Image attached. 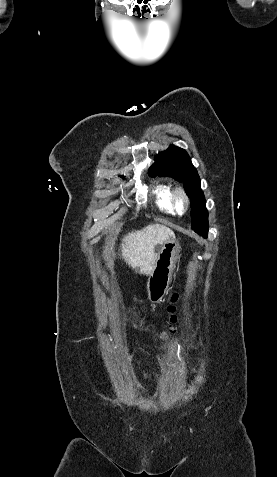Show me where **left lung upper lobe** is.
Returning a JSON list of instances; mask_svg holds the SVG:
<instances>
[{"instance_id":"1","label":"left lung upper lobe","mask_w":277,"mask_h":477,"mask_svg":"<svg viewBox=\"0 0 277 477\" xmlns=\"http://www.w3.org/2000/svg\"><path fill=\"white\" fill-rule=\"evenodd\" d=\"M149 175L168 176L184 183V190L191 202L192 229L195 232L208 229V212L200 178L184 149L171 145L160 152L155 163L149 168Z\"/></svg>"}]
</instances>
